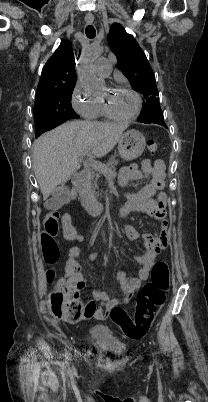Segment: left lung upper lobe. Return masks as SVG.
Here are the masks:
<instances>
[{"label":"left lung upper lobe","instance_id":"left-lung-upper-lobe-1","mask_svg":"<svg viewBox=\"0 0 208 402\" xmlns=\"http://www.w3.org/2000/svg\"><path fill=\"white\" fill-rule=\"evenodd\" d=\"M111 50L116 55L118 66L132 87L146 99L144 112L138 117L143 123L166 126L159 104L155 75L134 37L120 24H113L108 35Z\"/></svg>","mask_w":208,"mask_h":402}]
</instances>
